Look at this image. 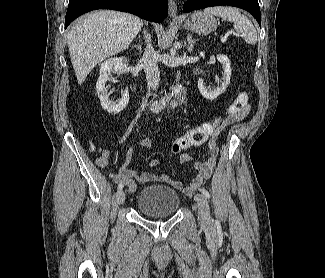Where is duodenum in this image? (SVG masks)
<instances>
[{"instance_id": "duodenum-1", "label": "duodenum", "mask_w": 325, "mask_h": 278, "mask_svg": "<svg viewBox=\"0 0 325 278\" xmlns=\"http://www.w3.org/2000/svg\"><path fill=\"white\" fill-rule=\"evenodd\" d=\"M170 100H171V95L168 94L159 100H150V106L154 112H159L169 105Z\"/></svg>"}]
</instances>
